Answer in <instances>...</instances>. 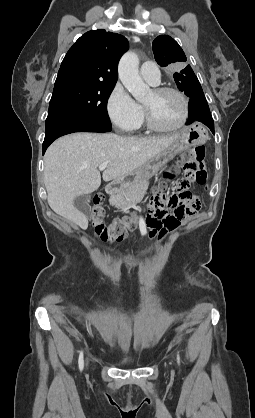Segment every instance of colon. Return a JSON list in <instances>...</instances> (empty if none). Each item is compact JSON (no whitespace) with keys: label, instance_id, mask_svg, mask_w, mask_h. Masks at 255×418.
Masks as SVG:
<instances>
[{"label":"colon","instance_id":"colon-1","mask_svg":"<svg viewBox=\"0 0 255 418\" xmlns=\"http://www.w3.org/2000/svg\"><path fill=\"white\" fill-rule=\"evenodd\" d=\"M205 148L197 146L182 157L183 180L179 183L178 192L169 197L157 192L151 199L146 224L163 236L178 221L191 218L200 207L199 199L189 191L191 184L205 185L207 172L204 164ZM171 176L167 174L166 178ZM103 198L96 196L92 206V225L100 239L108 244L120 242L125 235L126 223L121 219H114L109 225L104 223ZM168 210H171L169 212Z\"/></svg>","mask_w":255,"mask_h":418}]
</instances>
